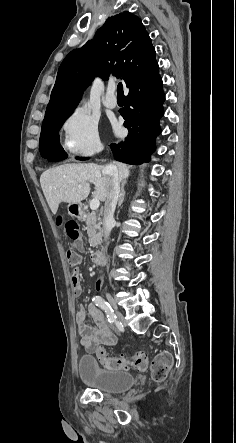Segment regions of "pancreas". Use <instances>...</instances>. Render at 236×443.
Returning <instances> with one entry per match:
<instances>
[{
    "mask_svg": "<svg viewBox=\"0 0 236 443\" xmlns=\"http://www.w3.org/2000/svg\"><path fill=\"white\" fill-rule=\"evenodd\" d=\"M86 223V230L89 237V244L91 247H97L101 243L102 237V222L97 217L95 212H87L83 217Z\"/></svg>",
    "mask_w": 236,
    "mask_h": 443,
    "instance_id": "1",
    "label": "pancreas"
}]
</instances>
